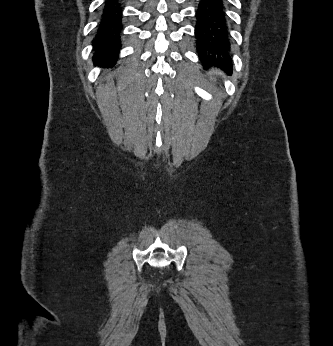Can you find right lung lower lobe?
Here are the masks:
<instances>
[{"instance_id": "98d812e1", "label": "right lung lower lobe", "mask_w": 333, "mask_h": 346, "mask_svg": "<svg viewBox=\"0 0 333 346\" xmlns=\"http://www.w3.org/2000/svg\"><path fill=\"white\" fill-rule=\"evenodd\" d=\"M122 10L121 0L105 1L93 42L94 61L101 62L105 59L113 63L118 58L123 29Z\"/></svg>"}]
</instances>
